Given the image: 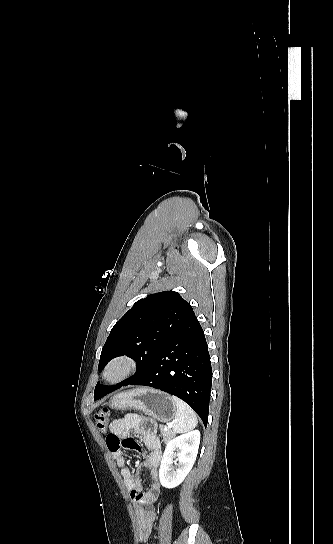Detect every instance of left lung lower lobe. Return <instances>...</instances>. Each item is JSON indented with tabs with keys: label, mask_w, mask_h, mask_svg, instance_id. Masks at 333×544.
Returning a JSON list of instances; mask_svg holds the SVG:
<instances>
[{
	"label": "left lung lower lobe",
	"mask_w": 333,
	"mask_h": 544,
	"mask_svg": "<svg viewBox=\"0 0 333 544\" xmlns=\"http://www.w3.org/2000/svg\"><path fill=\"white\" fill-rule=\"evenodd\" d=\"M212 368L203 329L194 311L163 344L148 368L127 385H144L189 404L207 426ZM126 386V385H125ZM100 393L95 400L105 396Z\"/></svg>",
	"instance_id": "left-lung-lower-lobe-1"
}]
</instances>
